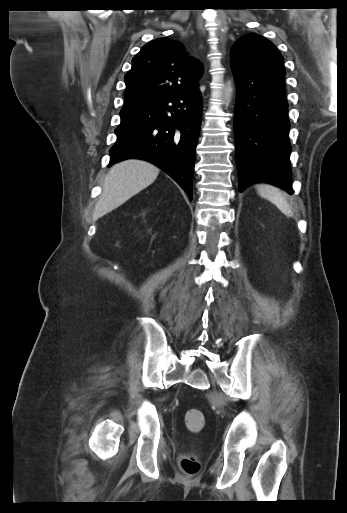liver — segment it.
Instances as JSON below:
<instances>
[{
    "label": "liver",
    "instance_id": "liver-1",
    "mask_svg": "<svg viewBox=\"0 0 347 513\" xmlns=\"http://www.w3.org/2000/svg\"><path fill=\"white\" fill-rule=\"evenodd\" d=\"M159 174L153 164L129 159L115 164L105 176L103 193L95 207L94 219L118 208L134 195L151 185Z\"/></svg>",
    "mask_w": 347,
    "mask_h": 513
}]
</instances>
